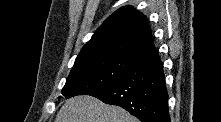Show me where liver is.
Instances as JSON below:
<instances>
[{
	"mask_svg": "<svg viewBox=\"0 0 221 122\" xmlns=\"http://www.w3.org/2000/svg\"><path fill=\"white\" fill-rule=\"evenodd\" d=\"M55 122H138L119 106L107 105L89 95L76 96L65 101Z\"/></svg>",
	"mask_w": 221,
	"mask_h": 122,
	"instance_id": "6515ba94",
	"label": "liver"
}]
</instances>
